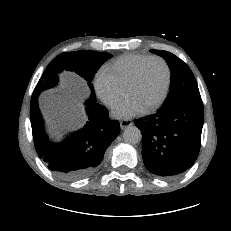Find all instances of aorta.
<instances>
[{
	"mask_svg": "<svg viewBox=\"0 0 231 231\" xmlns=\"http://www.w3.org/2000/svg\"><path fill=\"white\" fill-rule=\"evenodd\" d=\"M123 139L128 144H137L142 139V134L136 126H128L123 132Z\"/></svg>",
	"mask_w": 231,
	"mask_h": 231,
	"instance_id": "762f6f07",
	"label": "aorta"
}]
</instances>
